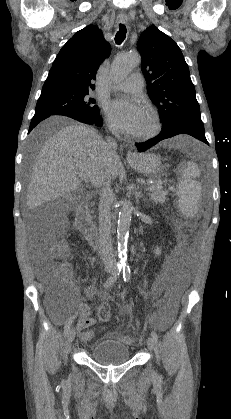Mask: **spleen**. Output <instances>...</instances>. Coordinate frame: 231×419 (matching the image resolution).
Returning <instances> with one entry per match:
<instances>
[{
	"mask_svg": "<svg viewBox=\"0 0 231 419\" xmlns=\"http://www.w3.org/2000/svg\"><path fill=\"white\" fill-rule=\"evenodd\" d=\"M182 179L178 185L179 209L187 217H193L198 210L201 186L195 180L200 176V170L196 163L188 162L182 171Z\"/></svg>",
	"mask_w": 231,
	"mask_h": 419,
	"instance_id": "spleen-1",
	"label": "spleen"
}]
</instances>
